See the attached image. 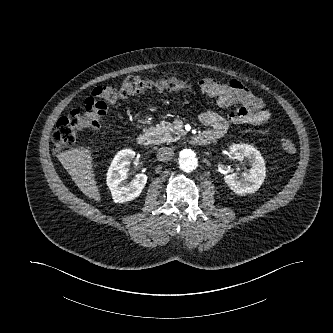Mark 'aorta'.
Wrapping results in <instances>:
<instances>
[{"instance_id":"1","label":"aorta","mask_w":333,"mask_h":333,"mask_svg":"<svg viewBox=\"0 0 333 333\" xmlns=\"http://www.w3.org/2000/svg\"><path fill=\"white\" fill-rule=\"evenodd\" d=\"M178 164L181 170L191 172L198 167V159L191 149H183L179 153Z\"/></svg>"}]
</instances>
